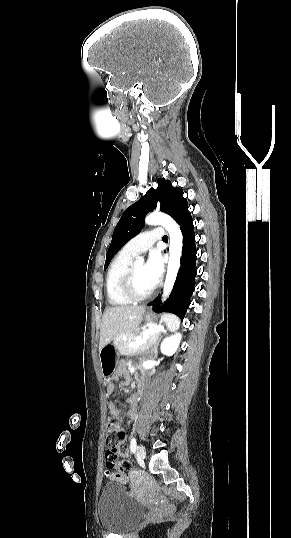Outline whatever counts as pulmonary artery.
<instances>
[{"label": "pulmonary artery", "instance_id": "obj_1", "mask_svg": "<svg viewBox=\"0 0 291 538\" xmlns=\"http://www.w3.org/2000/svg\"><path fill=\"white\" fill-rule=\"evenodd\" d=\"M164 236H166L165 230L158 227L137 235L124 246V249L136 256L151 248L155 241L163 239Z\"/></svg>", "mask_w": 291, "mask_h": 538}]
</instances>
